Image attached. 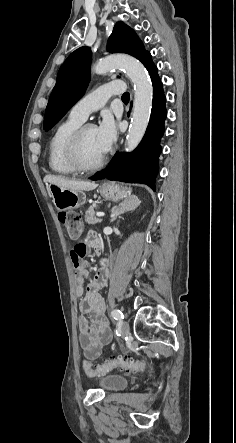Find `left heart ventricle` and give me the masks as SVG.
Returning <instances> with one entry per match:
<instances>
[{
    "label": "left heart ventricle",
    "mask_w": 236,
    "mask_h": 443,
    "mask_svg": "<svg viewBox=\"0 0 236 443\" xmlns=\"http://www.w3.org/2000/svg\"><path fill=\"white\" fill-rule=\"evenodd\" d=\"M105 152L103 151L95 127L89 128L83 135L80 145V158L85 165L94 164Z\"/></svg>",
    "instance_id": "1"
}]
</instances>
